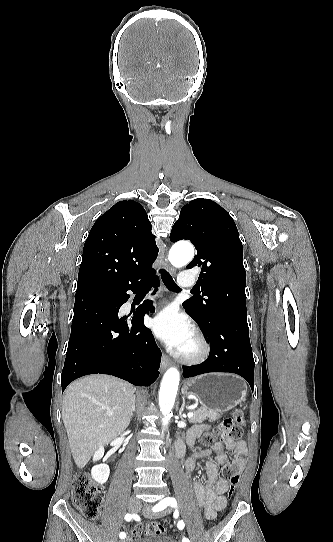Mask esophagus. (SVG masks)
I'll use <instances>...</instances> for the list:
<instances>
[{
  "label": "esophagus",
  "mask_w": 333,
  "mask_h": 542,
  "mask_svg": "<svg viewBox=\"0 0 333 542\" xmlns=\"http://www.w3.org/2000/svg\"><path fill=\"white\" fill-rule=\"evenodd\" d=\"M167 252H168V247L166 248L165 255L162 256L163 263H164L165 268L170 273H174L173 267L170 265V263L167 260ZM170 364H171V361H170L169 357L165 353H163L162 354V360H161V369L165 370Z\"/></svg>",
  "instance_id": "1"
}]
</instances>
